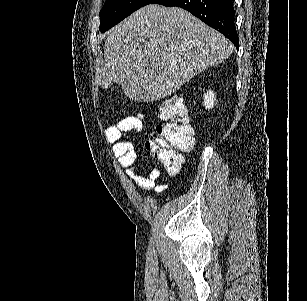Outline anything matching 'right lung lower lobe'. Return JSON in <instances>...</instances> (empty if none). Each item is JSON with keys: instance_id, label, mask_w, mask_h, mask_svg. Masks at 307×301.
Segmentation results:
<instances>
[{"instance_id": "1", "label": "right lung lower lobe", "mask_w": 307, "mask_h": 301, "mask_svg": "<svg viewBox=\"0 0 307 301\" xmlns=\"http://www.w3.org/2000/svg\"><path fill=\"white\" fill-rule=\"evenodd\" d=\"M233 0H154L151 4L181 7L226 36L238 49Z\"/></svg>"}]
</instances>
